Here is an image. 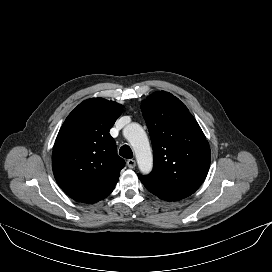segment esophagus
<instances>
[{"mask_svg":"<svg viewBox=\"0 0 272 272\" xmlns=\"http://www.w3.org/2000/svg\"><path fill=\"white\" fill-rule=\"evenodd\" d=\"M127 166L129 168H134L136 166V161L134 159L127 160Z\"/></svg>","mask_w":272,"mask_h":272,"instance_id":"1","label":"esophagus"}]
</instances>
